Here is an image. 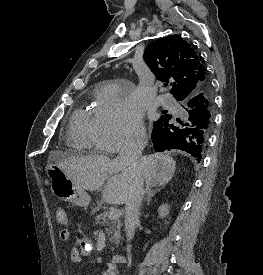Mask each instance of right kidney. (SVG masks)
<instances>
[{
	"label": "right kidney",
	"instance_id": "right-kidney-1",
	"mask_svg": "<svg viewBox=\"0 0 263 275\" xmlns=\"http://www.w3.org/2000/svg\"><path fill=\"white\" fill-rule=\"evenodd\" d=\"M158 213L160 218L166 217L169 213V206L167 204H163L158 208Z\"/></svg>",
	"mask_w": 263,
	"mask_h": 275
}]
</instances>
